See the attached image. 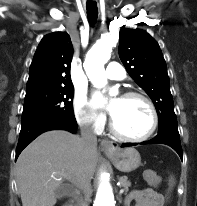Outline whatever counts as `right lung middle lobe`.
<instances>
[{
	"mask_svg": "<svg viewBox=\"0 0 197 206\" xmlns=\"http://www.w3.org/2000/svg\"><path fill=\"white\" fill-rule=\"evenodd\" d=\"M73 93V85L26 89L21 127L47 118L74 117Z\"/></svg>",
	"mask_w": 197,
	"mask_h": 206,
	"instance_id": "1",
	"label": "right lung middle lobe"
}]
</instances>
